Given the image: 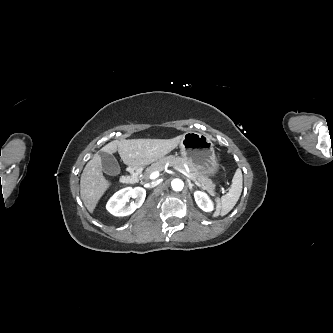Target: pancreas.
<instances>
[{
    "mask_svg": "<svg viewBox=\"0 0 333 333\" xmlns=\"http://www.w3.org/2000/svg\"><path fill=\"white\" fill-rule=\"evenodd\" d=\"M166 165H170L173 167H178L181 169H184V165H187L189 167V174L192 176V178L201 184L202 187H206L208 192L214 194L215 184L213 181L205 176L203 173H201L198 169H196L188 160L178 157V156H166L163 158H160L156 162H154L150 167H148L144 174V179H149V175L154 171H163Z\"/></svg>",
    "mask_w": 333,
    "mask_h": 333,
    "instance_id": "1",
    "label": "pancreas"
}]
</instances>
